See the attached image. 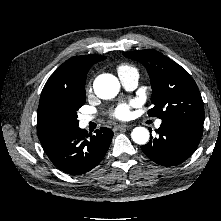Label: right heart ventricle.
<instances>
[{
	"mask_svg": "<svg viewBox=\"0 0 221 221\" xmlns=\"http://www.w3.org/2000/svg\"><path fill=\"white\" fill-rule=\"evenodd\" d=\"M128 70H135V69L128 65H122L118 68V73L123 72V71H128Z\"/></svg>",
	"mask_w": 221,
	"mask_h": 221,
	"instance_id": "e07e8e85",
	"label": "right heart ventricle"
}]
</instances>
